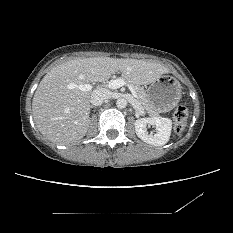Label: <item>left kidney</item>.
Instances as JSON below:
<instances>
[{"label":"left kidney","instance_id":"left-kidney-1","mask_svg":"<svg viewBox=\"0 0 233 233\" xmlns=\"http://www.w3.org/2000/svg\"><path fill=\"white\" fill-rule=\"evenodd\" d=\"M134 125L136 135L148 144L162 146L166 144L170 138L172 121L168 118H140L135 121ZM147 125L156 126L157 132L148 134Z\"/></svg>","mask_w":233,"mask_h":233}]
</instances>
